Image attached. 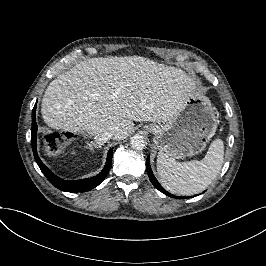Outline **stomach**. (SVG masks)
Wrapping results in <instances>:
<instances>
[{
  "label": "stomach",
  "instance_id": "stomach-1",
  "mask_svg": "<svg viewBox=\"0 0 266 266\" xmlns=\"http://www.w3.org/2000/svg\"><path fill=\"white\" fill-rule=\"evenodd\" d=\"M218 120L212 103L205 96L193 95L185 109L172 119L148 124L144 131L154 134L160 153L170 159H182L202 152L215 135Z\"/></svg>",
  "mask_w": 266,
  "mask_h": 266
}]
</instances>
